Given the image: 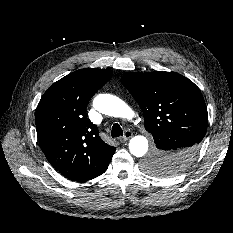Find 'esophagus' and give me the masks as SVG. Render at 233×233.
I'll return each instance as SVG.
<instances>
[{
  "instance_id": "esophagus-1",
  "label": "esophagus",
  "mask_w": 233,
  "mask_h": 233,
  "mask_svg": "<svg viewBox=\"0 0 233 233\" xmlns=\"http://www.w3.org/2000/svg\"><path fill=\"white\" fill-rule=\"evenodd\" d=\"M132 135H133L132 131L127 129V130H125L123 137L120 138V141L125 142L128 139H130L132 137Z\"/></svg>"
}]
</instances>
